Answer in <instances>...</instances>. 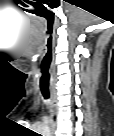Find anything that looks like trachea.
Wrapping results in <instances>:
<instances>
[{
    "label": "trachea",
    "mask_w": 114,
    "mask_h": 136,
    "mask_svg": "<svg viewBox=\"0 0 114 136\" xmlns=\"http://www.w3.org/2000/svg\"><path fill=\"white\" fill-rule=\"evenodd\" d=\"M42 73L45 77H47L46 81L40 82V90L45 99L49 98V71L42 70Z\"/></svg>",
    "instance_id": "obj_1"
}]
</instances>
